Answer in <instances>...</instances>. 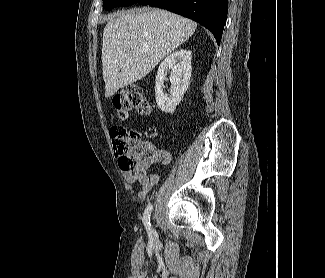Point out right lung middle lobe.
Masks as SVG:
<instances>
[{"label":"right lung middle lobe","instance_id":"dd1d6c3e","mask_svg":"<svg viewBox=\"0 0 325 278\" xmlns=\"http://www.w3.org/2000/svg\"><path fill=\"white\" fill-rule=\"evenodd\" d=\"M137 1L138 0H103V5L106 10H110L117 6H129Z\"/></svg>","mask_w":325,"mask_h":278}]
</instances>
